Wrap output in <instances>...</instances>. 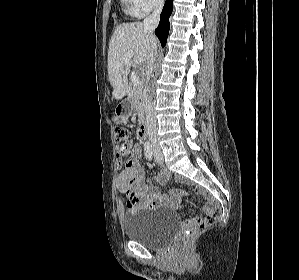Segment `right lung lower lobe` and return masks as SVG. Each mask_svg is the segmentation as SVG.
<instances>
[{
	"label": "right lung lower lobe",
	"mask_w": 299,
	"mask_h": 280,
	"mask_svg": "<svg viewBox=\"0 0 299 280\" xmlns=\"http://www.w3.org/2000/svg\"><path fill=\"white\" fill-rule=\"evenodd\" d=\"M173 10V0H166L162 14L160 16V23L155 30V34L159 38L162 47L165 46L169 34V17Z\"/></svg>",
	"instance_id": "obj_1"
}]
</instances>
